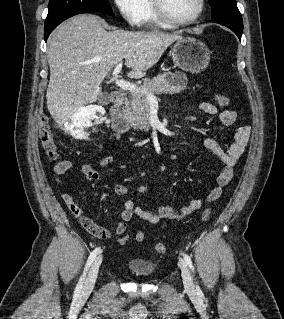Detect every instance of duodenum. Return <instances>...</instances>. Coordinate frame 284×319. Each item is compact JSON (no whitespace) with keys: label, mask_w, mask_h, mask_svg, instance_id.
Instances as JSON below:
<instances>
[{"label":"duodenum","mask_w":284,"mask_h":319,"mask_svg":"<svg viewBox=\"0 0 284 319\" xmlns=\"http://www.w3.org/2000/svg\"><path fill=\"white\" fill-rule=\"evenodd\" d=\"M112 106L110 109L111 126L117 133H127L130 129L129 123L121 112L123 95L120 92H114L111 95Z\"/></svg>","instance_id":"410a0bca"}]
</instances>
